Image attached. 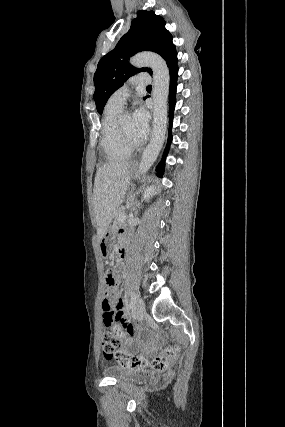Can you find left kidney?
<instances>
[{"instance_id": "left-kidney-1", "label": "left kidney", "mask_w": 285, "mask_h": 427, "mask_svg": "<svg viewBox=\"0 0 285 427\" xmlns=\"http://www.w3.org/2000/svg\"><path fill=\"white\" fill-rule=\"evenodd\" d=\"M155 192V187L154 186H150L147 187L145 192H144V199L148 200L150 198V196H152Z\"/></svg>"}]
</instances>
